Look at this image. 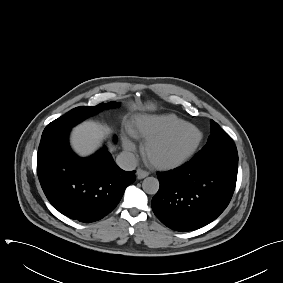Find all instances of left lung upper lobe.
Instances as JSON below:
<instances>
[{
  "label": "left lung upper lobe",
  "instance_id": "5c2ea615",
  "mask_svg": "<svg viewBox=\"0 0 283 283\" xmlns=\"http://www.w3.org/2000/svg\"><path fill=\"white\" fill-rule=\"evenodd\" d=\"M211 135L206 145L191 161L219 162L238 166L237 148L232 138L213 120H211Z\"/></svg>",
  "mask_w": 283,
  "mask_h": 283
}]
</instances>
